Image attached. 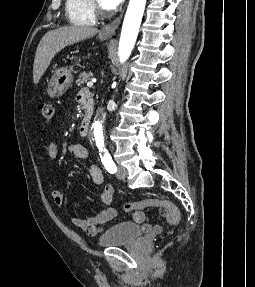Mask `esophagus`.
<instances>
[{"instance_id":"obj_1","label":"esophagus","mask_w":255,"mask_h":287,"mask_svg":"<svg viewBox=\"0 0 255 287\" xmlns=\"http://www.w3.org/2000/svg\"><path fill=\"white\" fill-rule=\"evenodd\" d=\"M121 18H122V15H120V17L116 18L112 22L107 23L106 25H104L101 28L100 34L103 35V36H106V37H112L115 34L116 29L120 25Z\"/></svg>"}]
</instances>
